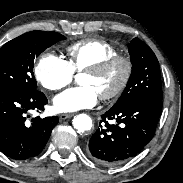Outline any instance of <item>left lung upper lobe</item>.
<instances>
[{"label":"left lung upper lobe","instance_id":"obj_1","mask_svg":"<svg viewBox=\"0 0 183 183\" xmlns=\"http://www.w3.org/2000/svg\"><path fill=\"white\" fill-rule=\"evenodd\" d=\"M132 73L121 97L113 108L136 99L162 100L158 60L151 48L138 38L128 44Z\"/></svg>","mask_w":183,"mask_h":183}]
</instances>
